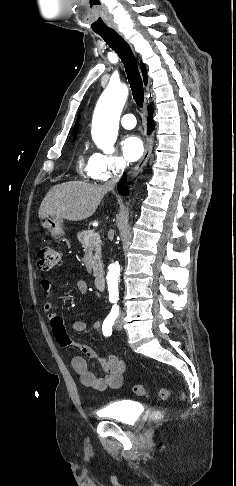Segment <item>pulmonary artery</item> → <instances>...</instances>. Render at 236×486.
Returning a JSON list of instances; mask_svg holds the SVG:
<instances>
[{
  "mask_svg": "<svg viewBox=\"0 0 236 486\" xmlns=\"http://www.w3.org/2000/svg\"><path fill=\"white\" fill-rule=\"evenodd\" d=\"M121 125L126 129H132L136 125V119L133 114H124L121 118Z\"/></svg>",
  "mask_w": 236,
  "mask_h": 486,
  "instance_id": "pulmonary-artery-1",
  "label": "pulmonary artery"
}]
</instances>
